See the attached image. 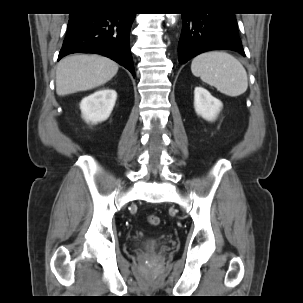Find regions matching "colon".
I'll list each match as a JSON object with an SVG mask.
<instances>
[{
	"mask_svg": "<svg viewBox=\"0 0 303 303\" xmlns=\"http://www.w3.org/2000/svg\"><path fill=\"white\" fill-rule=\"evenodd\" d=\"M148 223L153 226H157L160 223V218L157 215H150L147 218Z\"/></svg>",
	"mask_w": 303,
	"mask_h": 303,
	"instance_id": "obj_1",
	"label": "colon"
}]
</instances>
